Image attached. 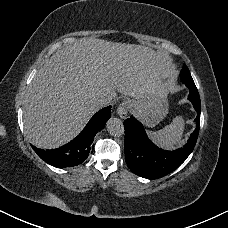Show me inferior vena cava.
Segmentation results:
<instances>
[{
  "mask_svg": "<svg viewBox=\"0 0 228 228\" xmlns=\"http://www.w3.org/2000/svg\"><path fill=\"white\" fill-rule=\"evenodd\" d=\"M89 97L91 98L92 105L96 109V111L107 107L112 101V98H108L106 96L95 98L92 94H89Z\"/></svg>",
  "mask_w": 228,
  "mask_h": 228,
  "instance_id": "1",
  "label": "inferior vena cava"
}]
</instances>
